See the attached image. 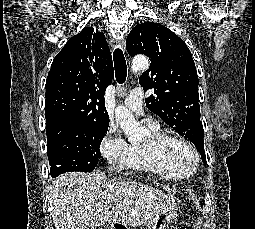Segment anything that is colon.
Listing matches in <instances>:
<instances>
[{
  "label": "colon",
  "instance_id": "obj_1",
  "mask_svg": "<svg viewBox=\"0 0 255 229\" xmlns=\"http://www.w3.org/2000/svg\"><path fill=\"white\" fill-rule=\"evenodd\" d=\"M176 229H187V227H186V225H180V226H178V228H176Z\"/></svg>",
  "mask_w": 255,
  "mask_h": 229
}]
</instances>
